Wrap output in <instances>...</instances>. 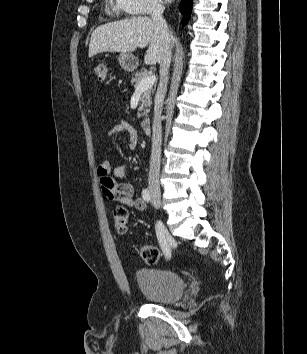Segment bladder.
Instances as JSON below:
<instances>
[{
    "label": "bladder",
    "instance_id": "obj_1",
    "mask_svg": "<svg viewBox=\"0 0 307 354\" xmlns=\"http://www.w3.org/2000/svg\"><path fill=\"white\" fill-rule=\"evenodd\" d=\"M136 281L143 295L150 301L169 304L178 301L184 294V278L171 270L142 267L136 271Z\"/></svg>",
    "mask_w": 307,
    "mask_h": 354
}]
</instances>
